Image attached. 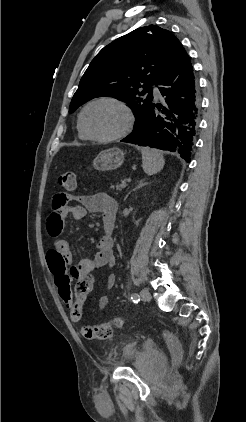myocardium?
Here are the masks:
<instances>
[{
  "mask_svg": "<svg viewBox=\"0 0 246 422\" xmlns=\"http://www.w3.org/2000/svg\"><path fill=\"white\" fill-rule=\"evenodd\" d=\"M101 102L113 103L117 105L118 107H120L122 111L124 112L125 124H124V127L118 133L110 135V136H97V135L92 134L88 130L85 123L86 112L91 106L97 103H101ZM79 123H80V127L83 133L86 135L88 139L97 141V142L109 143V142H114L119 139H122L132 130L133 125H134V115L130 106L123 100L113 97V96H102V97H98L96 99L91 100L83 107L79 116Z\"/></svg>",
  "mask_w": 246,
  "mask_h": 422,
  "instance_id": "myocardium-1",
  "label": "myocardium"
}]
</instances>
